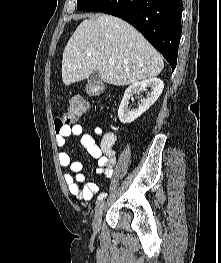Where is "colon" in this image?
Here are the masks:
<instances>
[{"label":"colon","instance_id":"1","mask_svg":"<svg viewBox=\"0 0 221 263\" xmlns=\"http://www.w3.org/2000/svg\"><path fill=\"white\" fill-rule=\"evenodd\" d=\"M88 109L87 102L81 97H73L68 110L55 119V129L59 133L71 123L82 117Z\"/></svg>","mask_w":221,"mask_h":263}]
</instances>
